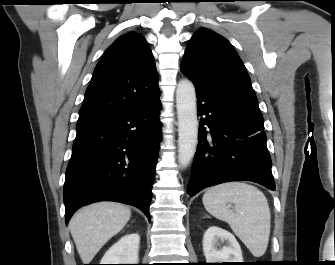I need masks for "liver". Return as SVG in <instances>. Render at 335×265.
<instances>
[{"instance_id":"6515ba94","label":"liver","mask_w":335,"mask_h":265,"mask_svg":"<svg viewBox=\"0 0 335 265\" xmlns=\"http://www.w3.org/2000/svg\"><path fill=\"white\" fill-rule=\"evenodd\" d=\"M130 217V209L117 202H97L79 210L70 220L69 230L82 262L89 264Z\"/></svg>"}]
</instances>
